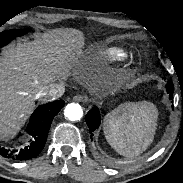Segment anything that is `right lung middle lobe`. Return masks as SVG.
Instances as JSON below:
<instances>
[{
    "mask_svg": "<svg viewBox=\"0 0 183 183\" xmlns=\"http://www.w3.org/2000/svg\"><path fill=\"white\" fill-rule=\"evenodd\" d=\"M31 29H20V30H7L0 34V48L8 44L15 37L22 36L27 32H30Z\"/></svg>",
    "mask_w": 183,
    "mask_h": 183,
    "instance_id": "1",
    "label": "right lung middle lobe"
}]
</instances>
